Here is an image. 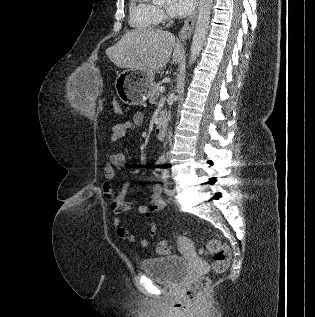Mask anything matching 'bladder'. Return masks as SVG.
<instances>
[{"label": "bladder", "instance_id": "obj_1", "mask_svg": "<svg viewBox=\"0 0 315 317\" xmlns=\"http://www.w3.org/2000/svg\"><path fill=\"white\" fill-rule=\"evenodd\" d=\"M142 271L166 286H177L188 274L189 264L183 257L170 255L144 259L141 262Z\"/></svg>", "mask_w": 315, "mask_h": 317}]
</instances>
